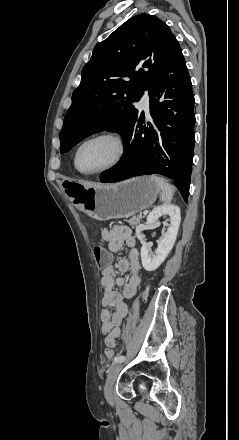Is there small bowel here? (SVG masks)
I'll return each instance as SVG.
<instances>
[{
    "label": "small bowel",
    "mask_w": 239,
    "mask_h": 440,
    "mask_svg": "<svg viewBox=\"0 0 239 440\" xmlns=\"http://www.w3.org/2000/svg\"><path fill=\"white\" fill-rule=\"evenodd\" d=\"M102 236L108 242L110 252H117L124 245L128 248L127 257L120 259L116 265L109 264L104 267L101 277V285L104 288L101 300V331L105 336L106 346L115 348L120 336V326L128 312L124 299H131L141 282L139 252L131 229L127 226L117 225L111 229H105ZM128 271L130 276L127 280L118 276V273ZM115 285L121 287L122 292L115 290ZM111 309H114V312Z\"/></svg>",
    "instance_id": "c3829d8e"
}]
</instances>
